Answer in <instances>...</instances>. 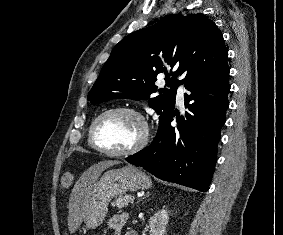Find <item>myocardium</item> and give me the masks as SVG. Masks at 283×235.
<instances>
[{
    "label": "myocardium",
    "instance_id": "f54148a6",
    "mask_svg": "<svg viewBox=\"0 0 283 235\" xmlns=\"http://www.w3.org/2000/svg\"><path fill=\"white\" fill-rule=\"evenodd\" d=\"M113 113H128L135 116L142 125V133L138 139V141L131 146L130 148L119 150V151H112L101 147L96 141V128L99 122L105 118L106 116L113 114ZM150 131L149 125L145 118V116L137 109L128 107V106H116L109 109L104 110L101 112L92 122L90 129H89V142L90 145L97 151L102 154L112 156V157H124V156H131L146 147L149 141Z\"/></svg>",
    "mask_w": 283,
    "mask_h": 235
}]
</instances>
